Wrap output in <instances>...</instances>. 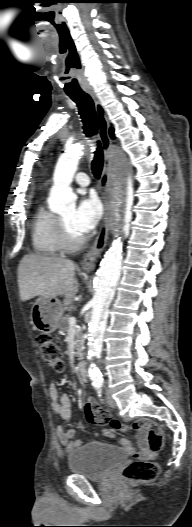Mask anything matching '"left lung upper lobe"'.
Wrapping results in <instances>:
<instances>
[{
    "label": "left lung upper lobe",
    "instance_id": "1",
    "mask_svg": "<svg viewBox=\"0 0 192 527\" xmlns=\"http://www.w3.org/2000/svg\"><path fill=\"white\" fill-rule=\"evenodd\" d=\"M110 135L113 137V128H110Z\"/></svg>",
    "mask_w": 192,
    "mask_h": 527
}]
</instances>
